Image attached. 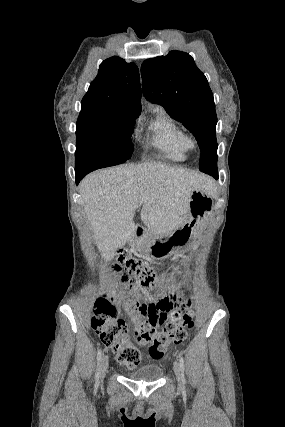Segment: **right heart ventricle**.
<instances>
[{
  "mask_svg": "<svg viewBox=\"0 0 285 427\" xmlns=\"http://www.w3.org/2000/svg\"><path fill=\"white\" fill-rule=\"evenodd\" d=\"M153 131V144L165 157L174 161H183L190 150L183 129L162 109L154 110L150 123Z\"/></svg>",
  "mask_w": 285,
  "mask_h": 427,
  "instance_id": "right-heart-ventricle-1",
  "label": "right heart ventricle"
}]
</instances>
